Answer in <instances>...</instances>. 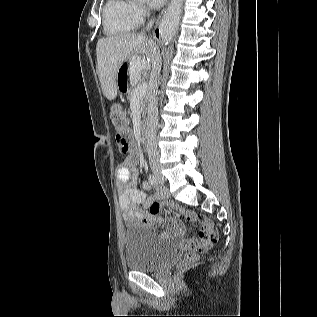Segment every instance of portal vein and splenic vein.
Returning a JSON list of instances; mask_svg holds the SVG:
<instances>
[{"mask_svg":"<svg viewBox=\"0 0 317 317\" xmlns=\"http://www.w3.org/2000/svg\"><path fill=\"white\" fill-rule=\"evenodd\" d=\"M146 91H147V83H142L134 90L133 95L137 97H142L143 95L146 94Z\"/></svg>","mask_w":317,"mask_h":317,"instance_id":"1","label":"portal vein and splenic vein"}]
</instances>
